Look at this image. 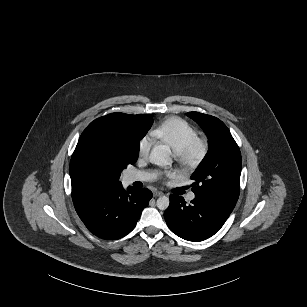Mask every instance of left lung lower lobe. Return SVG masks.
<instances>
[{"label":"left lung lower lobe","mask_w":307,"mask_h":307,"mask_svg":"<svg viewBox=\"0 0 307 307\" xmlns=\"http://www.w3.org/2000/svg\"><path fill=\"white\" fill-rule=\"evenodd\" d=\"M230 211L194 198L186 204L183 197L170 195V205L164 212L170 230L188 241H202L223 226Z\"/></svg>","instance_id":"obj_1"}]
</instances>
